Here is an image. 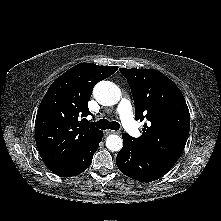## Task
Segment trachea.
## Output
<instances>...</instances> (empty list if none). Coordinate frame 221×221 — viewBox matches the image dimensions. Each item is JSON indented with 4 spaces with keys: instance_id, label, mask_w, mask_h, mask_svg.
I'll return each mask as SVG.
<instances>
[{
    "instance_id": "obj_1",
    "label": "trachea",
    "mask_w": 221,
    "mask_h": 221,
    "mask_svg": "<svg viewBox=\"0 0 221 221\" xmlns=\"http://www.w3.org/2000/svg\"><path fill=\"white\" fill-rule=\"evenodd\" d=\"M99 129H111V130H118L120 128V124L116 121L109 122L107 119H101L95 124Z\"/></svg>"
}]
</instances>
